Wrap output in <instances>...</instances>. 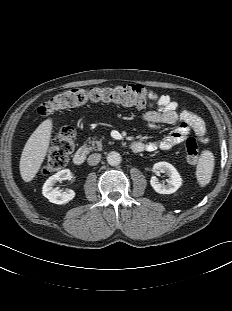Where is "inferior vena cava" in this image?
I'll use <instances>...</instances> for the list:
<instances>
[{"label": "inferior vena cava", "mask_w": 232, "mask_h": 311, "mask_svg": "<svg viewBox=\"0 0 232 311\" xmlns=\"http://www.w3.org/2000/svg\"><path fill=\"white\" fill-rule=\"evenodd\" d=\"M100 160H101V154L94 153L88 157L87 162L89 165L94 166V165H97L100 162Z\"/></svg>", "instance_id": "1"}]
</instances>
